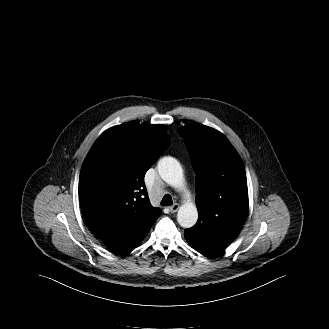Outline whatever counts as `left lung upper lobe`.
Returning <instances> with one entry per match:
<instances>
[{
    "label": "left lung upper lobe",
    "instance_id": "1",
    "mask_svg": "<svg viewBox=\"0 0 329 329\" xmlns=\"http://www.w3.org/2000/svg\"><path fill=\"white\" fill-rule=\"evenodd\" d=\"M196 172L199 218L189 232L197 239H215L226 229H241L248 212L245 169L238 153L219 131L199 124L179 130Z\"/></svg>",
    "mask_w": 329,
    "mask_h": 329
}]
</instances>
